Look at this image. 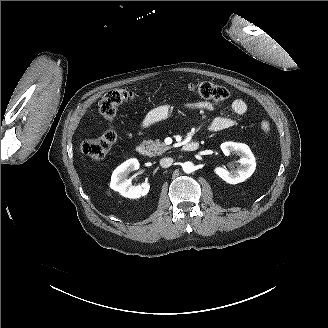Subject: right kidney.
I'll list each match as a JSON object with an SVG mask.
<instances>
[{
  "instance_id": "1",
  "label": "right kidney",
  "mask_w": 328,
  "mask_h": 328,
  "mask_svg": "<svg viewBox=\"0 0 328 328\" xmlns=\"http://www.w3.org/2000/svg\"><path fill=\"white\" fill-rule=\"evenodd\" d=\"M139 169V162L136 158H131L118 166L112 173L110 188L118 191L122 196L127 198H139L147 195L150 185L147 182L141 185H131V180L126 176L134 170Z\"/></svg>"
}]
</instances>
